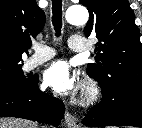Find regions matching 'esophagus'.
<instances>
[{
	"instance_id": "1",
	"label": "esophagus",
	"mask_w": 142,
	"mask_h": 128,
	"mask_svg": "<svg viewBox=\"0 0 142 128\" xmlns=\"http://www.w3.org/2000/svg\"><path fill=\"white\" fill-rule=\"evenodd\" d=\"M64 118H65V124L68 128H80V125H79L76 117L73 116L71 113L66 112Z\"/></svg>"
}]
</instances>
